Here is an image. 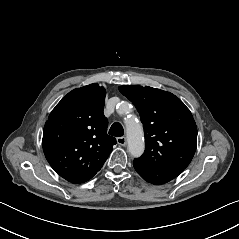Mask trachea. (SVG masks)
<instances>
[{
    "label": "trachea",
    "mask_w": 239,
    "mask_h": 239,
    "mask_svg": "<svg viewBox=\"0 0 239 239\" xmlns=\"http://www.w3.org/2000/svg\"><path fill=\"white\" fill-rule=\"evenodd\" d=\"M109 134L114 136V137H121L124 135V129L123 126L118 123L115 122L111 125L110 129H109Z\"/></svg>",
    "instance_id": "1"
}]
</instances>
